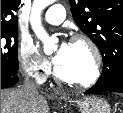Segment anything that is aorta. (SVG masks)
I'll use <instances>...</instances> for the list:
<instances>
[{
  "instance_id": "1",
  "label": "aorta",
  "mask_w": 123,
  "mask_h": 113,
  "mask_svg": "<svg viewBox=\"0 0 123 113\" xmlns=\"http://www.w3.org/2000/svg\"><path fill=\"white\" fill-rule=\"evenodd\" d=\"M54 0H34L30 22L33 31L35 32L38 39H40L43 43V49L46 54H50L53 51L54 43L57 41L55 36H49L47 32L41 25V12L45 9L48 5L52 4Z\"/></svg>"
}]
</instances>
